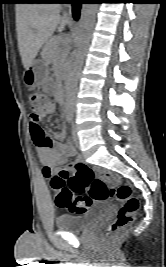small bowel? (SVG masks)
<instances>
[{"instance_id":"c3829d8e","label":"small bowel","mask_w":166,"mask_h":267,"mask_svg":"<svg viewBox=\"0 0 166 267\" xmlns=\"http://www.w3.org/2000/svg\"><path fill=\"white\" fill-rule=\"evenodd\" d=\"M47 89L52 91L53 87L48 86ZM54 111L55 107L52 105L37 117L31 116L29 121V128L32 139L37 146L38 157L45 165L43 174L46 178H49L52 175V168L54 166L61 165L65 163L68 158L74 156L73 150L66 143L59 140L62 135H58L57 139H54L46 137L44 133V141L41 143L37 141L36 130H42L40 123L47 115L53 114ZM76 161H78V159Z\"/></svg>"}]
</instances>
